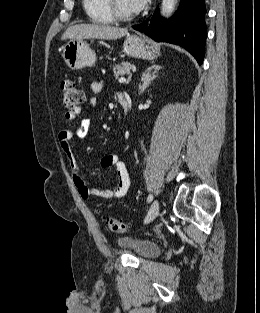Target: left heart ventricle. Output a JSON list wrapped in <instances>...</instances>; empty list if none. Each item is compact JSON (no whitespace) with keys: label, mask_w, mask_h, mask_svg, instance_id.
Returning <instances> with one entry per match:
<instances>
[{"label":"left heart ventricle","mask_w":260,"mask_h":313,"mask_svg":"<svg viewBox=\"0 0 260 313\" xmlns=\"http://www.w3.org/2000/svg\"><path fill=\"white\" fill-rule=\"evenodd\" d=\"M117 8L125 14L134 13L132 3L130 0H116Z\"/></svg>","instance_id":"obj_1"}]
</instances>
